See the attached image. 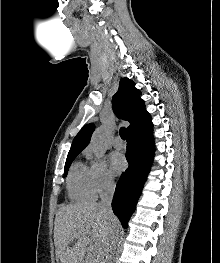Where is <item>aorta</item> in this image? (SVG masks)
I'll list each match as a JSON object with an SVG mask.
<instances>
[{
	"instance_id": "1",
	"label": "aorta",
	"mask_w": 220,
	"mask_h": 263,
	"mask_svg": "<svg viewBox=\"0 0 220 263\" xmlns=\"http://www.w3.org/2000/svg\"><path fill=\"white\" fill-rule=\"evenodd\" d=\"M91 143L96 157H103L107 148V133L104 127L96 130L92 136Z\"/></svg>"
}]
</instances>
